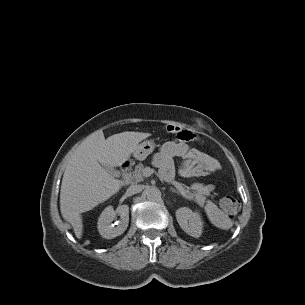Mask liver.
I'll list each match as a JSON object with an SVG mask.
<instances>
[{"instance_id":"obj_1","label":"liver","mask_w":305,"mask_h":305,"mask_svg":"<svg viewBox=\"0 0 305 305\" xmlns=\"http://www.w3.org/2000/svg\"><path fill=\"white\" fill-rule=\"evenodd\" d=\"M150 133L122 132L105 139L101 130L90 134L73 152L66 166L60 192V210L77 238H81V213L89 211L116 194L122 182L101 165L124 164L135 147Z\"/></svg>"}]
</instances>
